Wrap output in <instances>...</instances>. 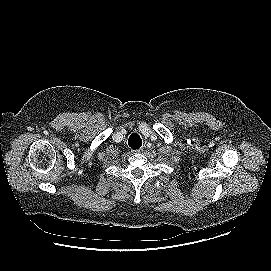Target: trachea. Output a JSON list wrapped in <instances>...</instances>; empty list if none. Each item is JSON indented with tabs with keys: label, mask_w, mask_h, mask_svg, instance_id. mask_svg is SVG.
I'll return each instance as SVG.
<instances>
[{
	"label": "trachea",
	"mask_w": 271,
	"mask_h": 271,
	"mask_svg": "<svg viewBox=\"0 0 271 271\" xmlns=\"http://www.w3.org/2000/svg\"><path fill=\"white\" fill-rule=\"evenodd\" d=\"M128 145L134 150L139 149L142 146L141 137L136 133L131 134L128 140Z\"/></svg>",
	"instance_id": "3493384b"
}]
</instances>
